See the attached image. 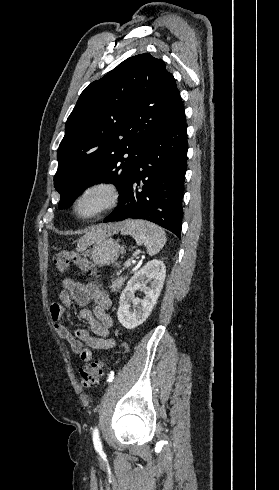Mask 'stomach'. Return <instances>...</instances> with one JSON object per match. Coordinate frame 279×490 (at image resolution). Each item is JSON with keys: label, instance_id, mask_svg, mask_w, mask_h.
Returning <instances> with one entry per match:
<instances>
[{"label": "stomach", "instance_id": "obj_1", "mask_svg": "<svg viewBox=\"0 0 279 490\" xmlns=\"http://www.w3.org/2000/svg\"><path fill=\"white\" fill-rule=\"evenodd\" d=\"M123 252H125L123 246H120L112 238H101V240H95L92 248L86 250L84 254L92 260L95 266L104 268V266L115 264Z\"/></svg>", "mask_w": 279, "mask_h": 490}]
</instances>
